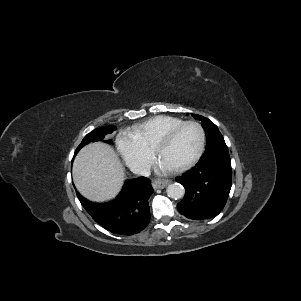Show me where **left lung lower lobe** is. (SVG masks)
Here are the masks:
<instances>
[{
    "instance_id": "1",
    "label": "left lung lower lobe",
    "mask_w": 301,
    "mask_h": 301,
    "mask_svg": "<svg viewBox=\"0 0 301 301\" xmlns=\"http://www.w3.org/2000/svg\"><path fill=\"white\" fill-rule=\"evenodd\" d=\"M175 180L185 188V196L177 204L178 211L193 220L213 218L223 210L229 196L231 163L220 160L197 163Z\"/></svg>"
}]
</instances>
